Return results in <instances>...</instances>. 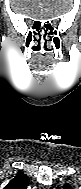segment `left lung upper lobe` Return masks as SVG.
Listing matches in <instances>:
<instances>
[{"mask_svg":"<svg viewBox=\"0 0 81 189\" xmlns=\"http://www.w3.org/2000/svg\"><path fill=\"white\" fill-rule=\"evenodd\" d=\"M64 189H72V187H71L70 185L66 184V185L64 186Z\"/></svg>","mask_w":81,"mask_h":189,"instance_id":"obj_1","label":"left lung upper lobe"}]
</instances>
